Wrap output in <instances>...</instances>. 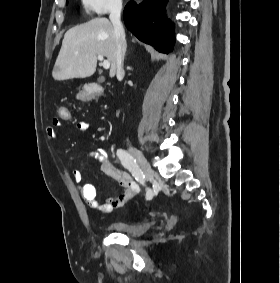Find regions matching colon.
Returning <instances> with one entry per match:
<instances>
[{
    "instance_id": "colon-1",
    "label": "colon",
    "mask_w": 280,
    "mask_h": 283,
    "mask_svg": "<svg viewBox=\"0 0 280 283\" xmlns=\"http://www.w3.org/2000/svg\"><path fill=\"white\" fill-rule=\"evenodd\" d=\"M82 93L77 94V99H87V98H94L97 97L101 92L104 91L103 87H97V86H89V87H83ZM74 115V112L72 111V108H67V105H60L58 108V121L59 122H68L69 119H71V116Z\"/></svg>"
}]
</instances>
